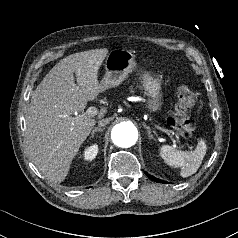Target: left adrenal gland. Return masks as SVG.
Listing matches in <instances>:
<instances>
[{"instance_id":"left-adrenal-gland-1","label":"left adrenal gland","mask_w":238,"mask_h":238,"mask_svg":"<svg viewBox=\"0 0 238 238\" xmlns=\"http://www.w3.org/2000/svg\"><path fill=\"white\" fill-rule=\"evenodd\" d=\"M144 127L147 129L149 139H153V135L151 134L150 127L147 126L145 123H144Z\"/></svg>"}]
</instances>
